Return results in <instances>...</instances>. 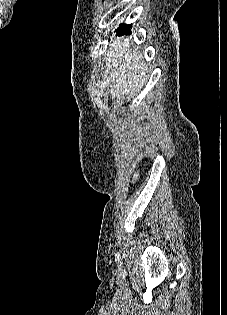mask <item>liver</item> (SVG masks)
<instances>
[{"label":"liver","mask_w":227,"mask_h":315,"mask_svg":"<svg viewBox=\"0 0 227 315\" xmlns=\"http://www.w3.org/2000/svg\"><path fill=\"white\" fill-rule=\"evenodd\" d=\"M132 38H116L105 53L108 79L112 83L108 89L112 97L117 95L129 100L146 81L147 66L138 48L132 46ZM103 75V74H102Z\"/></svg>","instance_id":"6515ba94"}]
</instances>
